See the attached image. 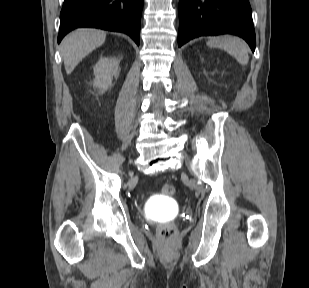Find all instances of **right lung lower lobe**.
<instances>
[{
    "label": "right lung lower lobe",
    "instance_id": "obj_1",
    "mask_svg": "<svg viewBox=\"0 0 309 288\" xmlns=\"http://www.w3.org/2000/svg\"><path fill=\"white\" fill-rule=\"evenodd\" d=\"M143 0H64L58 43L71 30L92 27L128 34L137 45Z\"/></svg>",
    "mask_w": 309,
    "mask_h": 288
}]
</instances>
